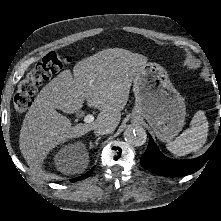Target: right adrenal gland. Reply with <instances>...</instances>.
Wrapping results in <instances>:
<instances>
[{"label":"right adrenal gland","instance_id":"2a0ac1e0","mask_svg":"<svg viewBox=\"0 0 221 221\" xmlns=\"http://www.w3.org/2000/svg\"><path fill=\"white\" fill-rule=\"evenodd\" d=\"M101 139V137H97V139L95 140V145L98 144V141ZM93 147V143H90V148Z\"/></svg>","mask_w":221,"mask_h":221}]
</instances>
